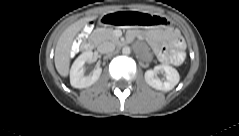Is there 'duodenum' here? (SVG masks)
<instances>
[{
    "label": "duodenum",
    "mask_w": 239,
    "mask_h": 136,
    "mask_svg": "<svg viewBox=\"0 0 239 136\" xmlns=\"http://www.w3.org/2000/svg\"><path fill=\"white\" fill-rule=\"evenodd\" d=\"M85 34H81L79 35L76 39H75V46L79 47L85 51H89L91 50L92 46H93V42L91 40H86L85 41Z\"/></svg>",
    "instance_id": "1"
}]
</instances>
